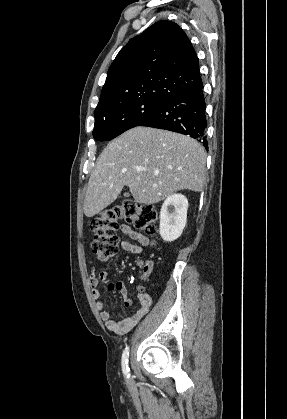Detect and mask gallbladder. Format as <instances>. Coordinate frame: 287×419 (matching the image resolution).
Masks as SVG:
<instances>
[{
    "label": "gallbladder",
    "instance_id": "1",
    "mask_svg": "<svg viewBox=\"0 0 287 419\" xmlns=\"http://www.w3.org/2000/svg\"><path fill=\"white\" fill-rule=\"evenodd\" d=\"M124 196H129V193H127V192H126V193H124Z\"/></svg>",
    "mask_w": 287,
    "mask_h": 419
}]
</instances>
